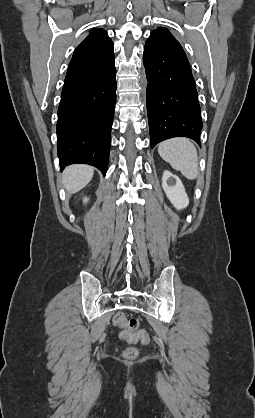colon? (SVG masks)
<instances>
[{
  "label": "colon",
  "mask_w": 255,
  "mask_h": 418,
  "mask_svg": "<svg viewBox=\"0 0 255 418\" xmlns=\"http://www.w3.org/2000/svg\"><path fill=\"white\" fill-rule=\"evenodd\" d=\"M114 325L120 329L121 338L131 343L141 342L143 344L148 343L149 336L146 331H138L139 322L135 318L128 319L124 313L118 312L113 318ZM138 355V350L134 346L127 347L123 356L126 359H135Z\"/></svg>",
  "instance_id": "colon-1"
}]
</instances>
